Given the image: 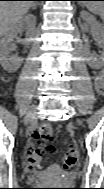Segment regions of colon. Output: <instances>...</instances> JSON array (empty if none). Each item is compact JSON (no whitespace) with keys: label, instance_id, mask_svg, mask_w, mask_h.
<instances>
[{"label":"colon","instance_id":"obj_1","mask_svg":"<svg viewBox=\"0 0 104 189\" xmlns=\"http://www.w3.org/2000/svg\"><path fill=\"white\" fill-rule=\"evenodd\" d=\"M35 144L28 148L27 165L32 171L39 170L43 155L46 151L53 150V130L49 124H41L33 133ZM79 154L75 147L67 149L63 156V168L72 169L78 162Z\"/></svg>","mask_w":104,"mask_h":189}]
</instances>
